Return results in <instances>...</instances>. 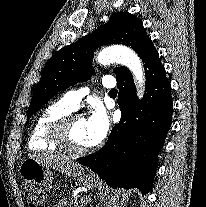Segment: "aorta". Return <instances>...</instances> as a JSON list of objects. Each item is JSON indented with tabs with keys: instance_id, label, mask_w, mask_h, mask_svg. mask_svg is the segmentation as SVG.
Returning a JSON list of instances; mask_svg holds the SVG:
<instances>
[{
	"instance_id": "762f6f07",
	"label": "aorta",
	"mask_w": 206,
	"mask_h": 207,
	"mask_svg": "<svg viewBox=\"0 0 206 207\" xmlns=\"http://www.w3.org/2000/svg\"><path fill=\"white\" fill-rule=\"evenodd\" d=\"M97 60L102 65L119 63L128 67L135 78L138 93L140 95L143 93L144 71L140 58L133 50L124 46L108 47L98 54Z\"/></svg>"
}]
</instances>
